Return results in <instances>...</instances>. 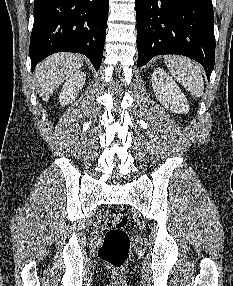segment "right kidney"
<instances>
[{
  "label": "right kidney",
  "instance_id": "1",
  "mask_svg": "<svg viewBox=\"0 0 233 286\" xmlns=\"http://www.w3.org/2000/svg\"><path fill=\"white\" fill-rule=\"evenodd\" d=\"M85 77L86 75L83 72L76 71L66 80L59 96L60 105L65 106L75 100L85 84Z\"/></svg>",
  "mask_w": 233,
  "mask_h": 286
}]
</instances>
